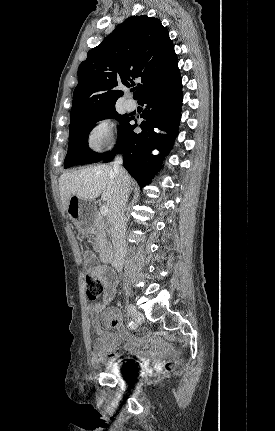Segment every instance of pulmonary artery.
<instances>
[{
    "mask_svg": "<svg viewBox=\"0 0 275 431\" xmlns=\"http://www.w3.org/2000/svg\"><path fill=\"white\" fill-rule=\"evenodd\" d=\"M125 107L128 111H133L136 109L137 104L133 99H128L125 101Z\"/></svg>",
    "mask_w": 275,
    "mask_h": 431,
    "instance_id": "obj_1",
    "label": "pulmonary artery"
}]
</instances>
